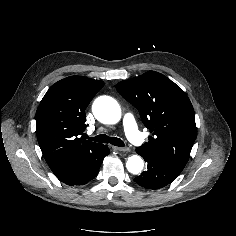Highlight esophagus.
Masks as SVG:
<instances>
[{"label": "esophagus", "mask_w": 236, "mask_h": 236, "mask_svg": "<svg viewBox=\"0 0 236 236\" xmlns=\"http://www.w3.org/2000/svg\"><path fill=\"white\" fill-rule=\"evenodd\" d=\"M112 148H113L114 150L120 151V152H128V151H129V148H127V147H117V146H113Z\"/></svg>", "instance_id": "obj_1"}]
</instances>
